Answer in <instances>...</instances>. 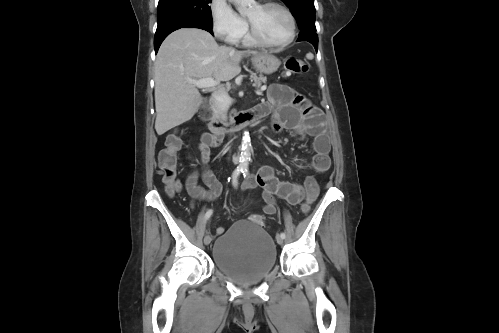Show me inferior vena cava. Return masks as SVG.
I'll return each instance as SVG.
<instances>
[{"label":"inferior vena cava","mask_w":499,"mask_h":333,"mask_svg":"<svg viewBox=\"0 0 499 333\" xmlns=\"http://www.w3.org/2000/svg\"><path fill=\"white\" fill-rule=\"evenodd\" d=\"M211 106L214 114L222 120H225L230 107V97L228 93L222 88L217 89L211 97Z\"/></svg>","instance_id":"602c4592"}]
</instances>
